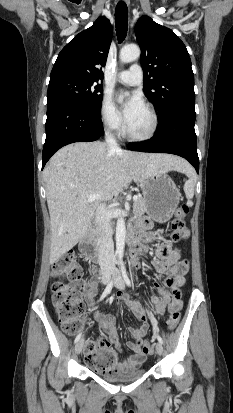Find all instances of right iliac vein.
Listing matches in <instances>:
<instances>
[{
    "instance_id": "obj_1",
    "label": "right iliac vein",
    "mask_w": 233,
    "mask_h": 413,
    "mask_svg": "<svg viewBox=\"0 0 233 413\" xmlns=\"http://www.w3.org/2000/svg\"><path fill=\"white\" fill-rule=\"evenodd\" d=\"M108 280H109V277L107 276V277L104 279V283H107ZM83 345H84V340H83V339H81V340L76 344L75 351H76L77 354H80V353H81V351H82V349H83Z\"/></svg>"
}]
</instances>
